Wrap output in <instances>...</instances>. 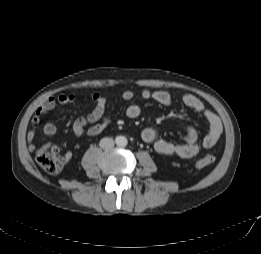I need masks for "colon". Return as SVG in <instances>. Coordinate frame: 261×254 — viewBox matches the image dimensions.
<instances>
[{"mask_svg": "<svg viewBox=\"0 0 261 254\" xmlns=\"http://www.w3.org/2000/svg\"><path fill=\"white\" fill-rule=\"evenodd\" d=\"M35 156L39 166L50 174L60 172L65 163V158L56 145H44L38 148ZM214 161L215 155L213 153H207L196 160L195 166L197 168H204L213 164Z\"/></svg>", "mask_w": 261, "mask_h": 254, "instance_id": "obj_1", "label": "colon"}]
</instances>
